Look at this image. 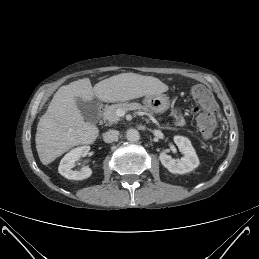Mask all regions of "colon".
I'll return each mask as SVG.
<instances>
[{
	"mask_svg": "<svg viewBox=\"0 0 259 259\" xmlns=\"http://www.w3.org/2000/svg\"><path fill=\"white\" fill-rule=\"evenodd\" d=\"M190 94L197 103L194 108L196 126L203 137L209 138L217 128L215 100L211 92L203 85H194Z\"/></svg>",
	"mask_w": 259,
	"mask_h": 259,
	"instance_id": "5ec220e1",
	"label": "colon"
}]
</instances>
